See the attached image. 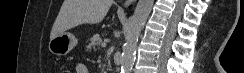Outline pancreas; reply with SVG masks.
Returning a JSON list of instances; mask_svg holds the SVG:
<instances>
[{
    "label": "pancreas",
    "instance_id": "cf45deb5",
    "mask_svg": "<svg viewBox=\"0 0 244 73\" xmlns=\"http://www.w3.org/2000/svg\"><path fill=\"white\" fill-rule=\"evenodd\" d=\"M102 42V39L99 35H94L93 37H91L90 39V43L86 46V51L88 52H92V51H96L100 44Z\"/></svg>",
    "mask_w": 244,
    "mask_h": 73
}]
</instances>
